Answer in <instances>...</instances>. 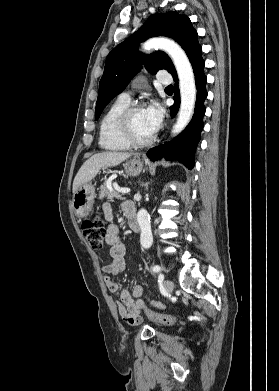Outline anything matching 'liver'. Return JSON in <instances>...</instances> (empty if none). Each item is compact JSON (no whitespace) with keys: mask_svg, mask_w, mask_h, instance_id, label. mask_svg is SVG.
<instances>
[{"mask_svg":"<svg viewBox=\"0 0 279 391\" xmlns=\"http://www.w3.org/2000/svg\"><path fill=\"white\" fill-rule=\"evenodd\" d=\"M131 156L129 153L102 152L91 156L79 169L73 181V193L82 185L90 182L101 168L114 167Z\"/></svg>","mask_w":279,"mask_h":391,"instance_id":"liver-1","label":"liver"}]
</instances>
